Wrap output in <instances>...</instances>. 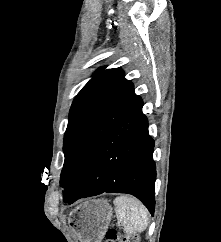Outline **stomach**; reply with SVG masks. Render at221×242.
Listing matches in <instances>:
<instances>
[{"instance_id": "1", "label": "stomach", "mask_w": 221, "mask_h": 242, "mask_svg": "<svg viewBox=\"0 0 221 242\" xmlns=\"http://www.w3.org/2000/svg\"><path fill=\"white\" fill-rule=\"evenodd\" d=\"M112 215V207L106 200H88L73 210L71 227L80 242H101Z\"/></svg>"}]
</instances>
